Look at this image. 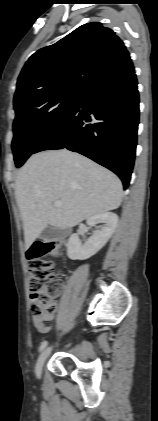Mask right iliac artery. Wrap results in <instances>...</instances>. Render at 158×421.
<instances>
[{
    "label": "right iliac artery",
    "mask_w": 158,
    "mask_h": 421,
    "mask_svg": "<svg viewBox=\"0 0 158 421\" xmlns=\"http://www.w3.org/2000/svg\"><path fill=\"white\" fill-rule=\"evenodd\" d=\"M48 342L47 341H43L39 347V352H41L42 350H44V348L47 346Z\"/></svg>",
    "instance_id": "82829eb1"
}]
</instances>
